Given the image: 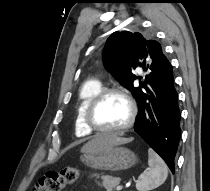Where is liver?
Instances as JSON below:
<instances>
[{
  "mask_svg": "<svg viewBox=\"0 0 210 191\" xmlns=\"http://www.w3.org/2000/svg\"><path fill=\"white\" fill-rule=\"evenodd\" d=\"M131 138H122L116 134L98 135L87 142L81 149V152L91 151L112 145H120L131 142Z\"/></svg>",
  "mask_w": 210,
  "mask_h": 191,
  "instance_id": "liver-1",
  "label": "liver"
}]
</instances>
